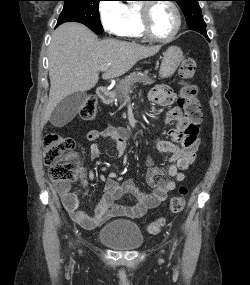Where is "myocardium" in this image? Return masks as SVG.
Instances as JSON below:
<instances>
[{
    "instance_id": "1",
    "label": "myocardium",
    "mask_w": 250,
    "mask_h": 285,
    "mask_svg": "<svg viewBox=\"0 0 250 285\" xmlns=\"http://www.w3.org/2000/svg\"><path fill=\"white\" fill-rule=\"evenodd\" d=\"M157 3H165L172 8L176 15V26L173 32L167 37H159L156 36L152 29L150 23V15L152 7ZM139 16H140V24L143 35L149 40L160 42V43H168L172 41L177 34L179 33L182 27V15L179 7L172 0H163L162 2H144L138 6Z\"/></svg>"
}]
</instances>
